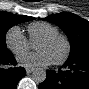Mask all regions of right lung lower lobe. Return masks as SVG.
<instances>
[{
  "label": "right lung lower lobe",
  "mask_w": 89,
  "mask_h": 89,
  "mask_svg": "<svg viewBox=\"0 0 89 89\" xmlns=\"http://www.w3.org/2000/svg\"><path fill=\"white\" fill-rule=\"evenodd\" d=\"M7 65H16V60L11 52L0 55V89H15L17 83L26 75L23 67L6 68Z\"/></svg>",
  "instance_id": "right-lung-lower-lobe-1"
}]
</instances>
